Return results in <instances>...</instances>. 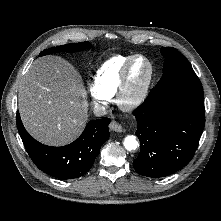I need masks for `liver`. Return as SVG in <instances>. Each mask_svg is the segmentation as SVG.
<instances>
[{"label": "liver", "instance_id": "liver-1", "mask_svg": "<svg viewBox=\"0 0 221 221\" xmlns=\"http://www.w3.org/2000/svg\"><path fill=\"white\" fill-rule=\"evenodd\" d=\"M18 102L24 127L46 145L71 143L88 121L81 76L61 57H43L30 66L20 84Z\"/></svg>", "mask_w": 221, "mask_h": 221}]
</instances>
